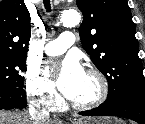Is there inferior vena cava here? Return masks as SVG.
Instances as JSON below:
<instances>
[{
    "mask_svg": "<svg viewBox=\"0 0 145 124\" xmlns=\"http://www.w3.org/2000/svg\"><path fill=\"white\" fill-rule=\"evenodd\" d=\"M30 118L34 124H39L41 121L48 119L49 115L42 111H33L30 113Z\"/></svg>",
    "mask_w": 145,
    "mask_h": 124,
    "instance_id": "inferior-vena-cava-1",
    "label": "inferior vena cava"
}]
</instances>
